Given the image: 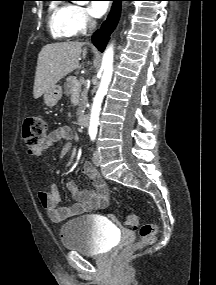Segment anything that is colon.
I'll return each instance as SVG.
<instances>
[{
    "instance_id": "obj_1",
    "label": "colon",
    "mask_w": 216,
    "mask_h": 285,
    "mask_svg": "<svg viewBox=\"0 0 216 285\" xmlns=\"http://www.w3.org/2000/svg\"><path fill=\"white\" fill-rule=\"evenodd\" d=\"M48 135V125L46 121L38 116H31L24 120L22 127V137L27 150L31 155H39L42 151V145ZM139 224L137 214H129L126 218V225L130 228H136ZM157 224L146 223L139 230L140 238L126 246L122 252V257L132 254L135 250L150 245L155 241L157 234Z\"/></svg>"
}]
</instances>
